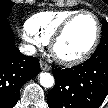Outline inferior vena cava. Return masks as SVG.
I'll return each instance as SVG.
<instances>
[{
    "label": "inferior vena cava",
    "instance_id": "inferior-vena-cava-1",
    "mask_svg": "<svg viewBox=\"0 0 108 108\" xmlns=\"http://www.w3.org/2000/svg\"><path fill=\"white\" fill-rule=\"evenodd\" d=\"M19 50L22 54L27 56H31L36 52V48L33 45H29V44L21 45L19 47Z\"/></svg>",
    "mask_w": 108,
    "mask_h": 108
}]
</instances>
